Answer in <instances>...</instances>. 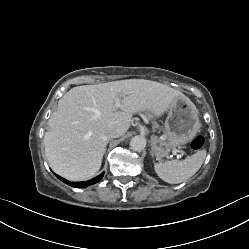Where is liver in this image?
I'll return each mask as SVG.
<instances>
[{"label": "liver", "mask_w": 249, "mask_h": 249, "mask_svg": "<svg viewBox=\"0 0 249 249\" xmlns=\"http://www.w3.org/2000/svg\"><path fill=\"white\" fill-rule=\"evenodd\" d=\"M183 93L159 82L127 79L70 89L59 101L44 135L45 155L51 169L71 181L92 178L100 169L108 140L103 130L124 135L132 116L150 111L160 117ZM119 98L120 107L115 106Z\"/></svg>", "instance_id": "1"}]
</instances>
